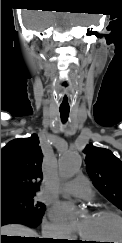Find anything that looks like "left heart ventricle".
<instances>
[{"label": "left heart ventricle", "instance_id": "obj_1", "mask_svg": "<svg viewBox=\"0 0 122 243\" xmlns=\"http://www.w3.org/2000/svg\"><path fill=\"white\" fill-rule=\"evenodd\" d=\"M81 233L83 237L98 243L106 239L114 240L113 243L122 241V223L113 216L86 215L81 221Z\"/></svg>", "mask_w": 122, "mask_h": 243}]
</instances>
